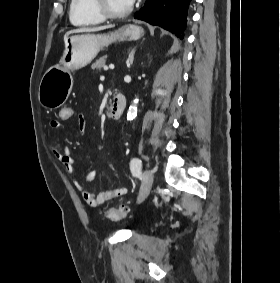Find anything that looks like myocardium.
I'll return each instance as SVG.
<instances>
[{"label":"myocardium","instance_id":"1","mask_svg":"<svg viewBox=\"0 0 280 283\" xmlns=\"http://www.w3.org/2000/svg\"><path fill=\"white\" fill-rule=\"evenodd\" d=\"M94 9L104 18V19H121L128 16L133 10V4L122 12H113L111 11L107 4L106 0H92Z\"/></svg>","mask_w":280,"mask_h":283}]
</instances>
